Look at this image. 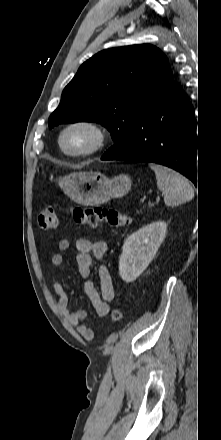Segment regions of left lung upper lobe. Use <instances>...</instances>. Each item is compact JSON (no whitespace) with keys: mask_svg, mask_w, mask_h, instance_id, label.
<instances>
[{"mask_svg":"<svg viewBox=\"0 0 221 440\" xmlns=\"http://www.w3.org/2000/svg\"><path fill=\"white\" fill-rule=\"evenodd\" d=\"M173 79L167 57L142 44L107 49L84 62L65 87L49 127L91 121L105 126L115 144L104 155L118 156L143 111Z\"/></svg>","mask_w":221,"mask_h":440,"instance_id":"obj_1","label":"left lung upper lobe"}]
</instances>
